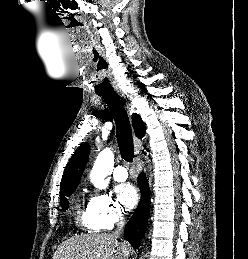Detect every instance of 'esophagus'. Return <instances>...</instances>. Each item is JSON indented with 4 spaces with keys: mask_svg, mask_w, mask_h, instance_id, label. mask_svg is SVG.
Wrapping results in <instances>:
<instances>
[{
    "mask_svg": "<svg viewBox=\"0 0 248 259\" xmlns=\"http://www.w3.org/2000/svg\"><path fill=\"white\" fill-rule=\"evenodd\" d=\"M119 92V91H118ZM119 94H121L119 92ZM123 96V95H122ZM128 109L129 108V104H127ZM141 148V140L139 138H137L136 136H134V160H133V170L136 173V175H138L139 173V150Z\"/></svg>",
    "mask_w": 248,
    "mask_h": 259,
    "instance_id": "1",
    "label": "esophagus"
}]
</instances>
